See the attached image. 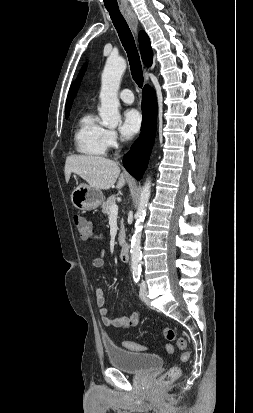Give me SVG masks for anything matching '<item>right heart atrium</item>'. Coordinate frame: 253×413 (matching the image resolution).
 Instances as JSON below:
<instances>
[{
    "mask_svg": "<svg viewBox=\"0 0 253 413\" xmlns=\"http://www.w3.org/2000/svg\"><path fill=\"white\" fill-rule=\"evenodd\" d=\"M105 139L108 148H114L119 143L118 135L114 130L107 129Z\"/></svg>",
    "mask_w": 253,
    "mask_h": 413,
    "instance_id": "right-heart-atrium-1",
    "label": "right heart atrium"
}]
</instances>
